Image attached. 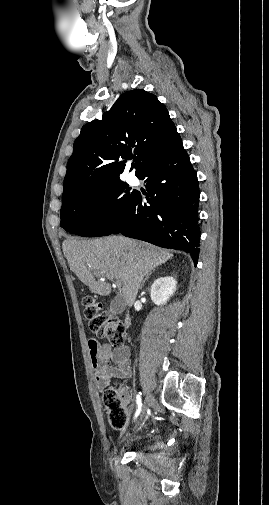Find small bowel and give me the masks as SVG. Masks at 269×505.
Here are the masks:
<instances>
[{
    "instance_id": "small-bowel-1",
    "label": "small bowel",
    "mask_w": 269,
    "mask_h": 505,
    "mask_svg": "<svg viewBox=\"0 0 269 505\" xmlns=\"http://www.w3.org/2000/svg\"><path fill=\"white\" fill-rule=\"evenodd\" d=\"M88 349L95 370V383L99 391L108 388L111 378L126 380L131 376L130 350L128 347L114 349L109 344H100L91 339L88 342ZM119 399L122 404L127 406L132 401L126 388L119 391Z\"/></svg>"
}]
</instances>
